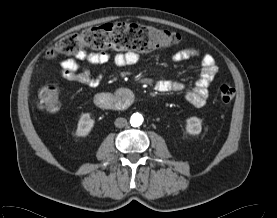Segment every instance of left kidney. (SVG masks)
Segmentation results:
<instances>
[{
    "instance_id": "1",
    "label": "left kidney",
    "mask_w": 277,
    "mask_h": 218,
    "mask_svg": "<svg viewBox=\"0 0 277 218\" xmlns=\"http://www.w3.org/2000/svg\"><path fill=\"white\" fill-rule=\"evenodd\" d=\"M186 131L190 135H197L201 132V120L197 117H190L186 120Z\"/></svg>"
}]
</instances>
